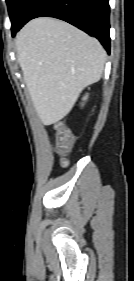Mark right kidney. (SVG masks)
Here are the masks:
<instances>
[{
  "instance_id": "obj_1",
  "label": "right kidney",
  "mask_w": 134,
  "mask_h": 281,
  "mask_svg": "<svg viewBox=\"0 0 134 281\" xmlns=\"http://www.w3.org/2000/svg\"><path fill=\"white\" fill-rule=\"evenodd\" d=\"M87 99V96H85L84 98H83V100H86Z\"/></svg>"
}]
</instances>
